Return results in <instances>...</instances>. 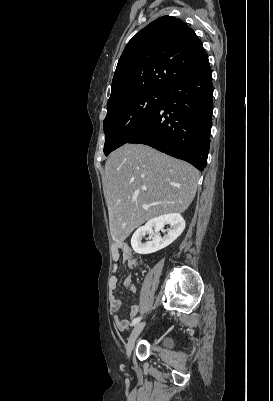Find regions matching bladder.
I'll list each match as a JSON object with an SVG mask.
<instances>
[{
  "label": "bladder",
  "mask_w": 273,
  "mask_h": 401,
  "mask_svg": "<svg viewBox=\"0 0 273 401\" xmlns=\"http://www.w3.org/2000/svg\"><path fill=\"white\" fill-rule=\"evenodd\" d=\"M169 345H170V342H169L168 340H166V341L164 342V346L167 348V347H169Z\"/></svg>",
  "instance_id": "bladder-1"
}]
</instances>
